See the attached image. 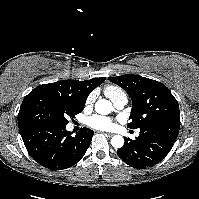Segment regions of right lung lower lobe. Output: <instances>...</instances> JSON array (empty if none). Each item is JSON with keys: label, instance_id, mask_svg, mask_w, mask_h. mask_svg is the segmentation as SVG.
I'll return each mask as SVG.
<instances>
[{"label": "right lung lower lobe", "instance_id": "1", "mask_svg": "<svg viewBox=\"0 0 199 199\" xmlns=\"http://www.w3.org/2000/svg\"><path fill=\"white\" fill-rule=\"evenodd\" d=\"M19 129L30 156L51 170H63L76 164L86 153L94 134L85 127L75 135L65 126L27 125Z\"/></svg>", "mask_w": 199, "mask_h": 199}]
</instances>
